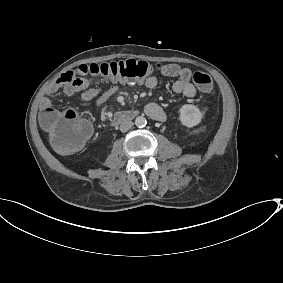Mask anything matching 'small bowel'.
Returning <instances> with one entry per match:
<instances>
[{"label": "small bowel", "instance_id": "c3829d8e", "mask_svg": "<svg viewBox=\"0 0 283 283\" xmlns=\"http://www.w3.org/2000/svg\"><path fill=\"white\" fill-rule=\"evenodd\" d=\"M161 72L166 77L176 79L172 85V89L175 93L183 94L188 98H192L196 95L197 90L191 83L192 72L190 69L171 63L164 65ZM64 75L65 73L58 77L47 88L46 94L40 103L42 112L47 109H53L51 98L59 91H62L68 96L73 95L76 92H81V102L83 105L100 107L118 90L116 84H112L108 87H93V82L90 79L83 77L65 81L63 79ZM144 84L150 89H155L158 87L159 82L155 76H149L145 79ZM144 111L146 115L153 120L164 122L167 119V114L164 109L156 103H147L144 107Z\"/></svg>", "mask_w": 283, "mask_h": 283}]
</instances>
